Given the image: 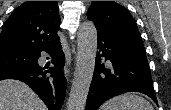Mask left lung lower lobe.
I'll return each mask as SVG.
<instances>
[{"label":"left lung lower lobe","instance_id":"0a47b994","mask_svg":"<svg viewBox=\"0 0 171 110\" xmlns=\"http://www.w3.org/2000/svg\"><path fill=\"white\" fill-rule=\"evenodd\" d=\"M97 47L100 52L95 60L86 110H97L106 100L133 91L146 94L158 104L146 55L129 50L100 35ZM101 57L110 62V67L101 63Z\"/></svg>","mask_w":171,"mask_h":110}]
</instances>
